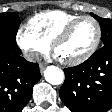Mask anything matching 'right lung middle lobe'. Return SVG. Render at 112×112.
I'll return each mask as SVG.
<instances>
[{
  "label": "right lung middle lobe",
  "instance_id": "obj_1",
  "mask_svg": "<svg viewBox=\"0 0 112 112\" xmlns=\"http://www.w3.org/2000/svg\"><path fill=\"white\" fill-rule=\"evenodd\" d=\"M20 19L16 13L0 14V48L20 50L16 43V34Z\"/></svg>",
  "mask_w": 112,
  "mask_h": 112
}]
</instances>
